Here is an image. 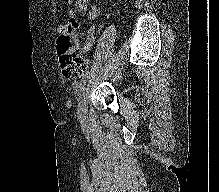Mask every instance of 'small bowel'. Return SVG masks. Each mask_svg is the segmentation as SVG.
<instances>
[{"instance_id": "obj_1", "label": "small bowel", "mask_w": 219, "mask_h": 192, "mask_svg": "<svg viewBox=\"0 0 219 192\" xmlns=\"http://www.w3.org/2000/svg\"><path fill=\"white\" fill-rule=\"evenodd\" d=\"M100 8L95 5H90V0H77L73 13H79L86 16L88 22L94 21L100 15ZM95 30L96 25L93 24L86 32V40L83 43V50L86 53H90L93 48V44L95 42Z\"/></svg>"}]
</instances>
